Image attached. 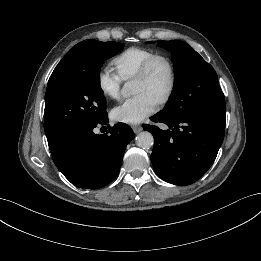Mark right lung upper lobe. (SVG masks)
Returning a JSON list of instances; mask_svg holds the SVG:
<instances>
[{
	"label": "right lung upper lobe",
	"mask_w": 261,
	"mask_h": 261,
	"mask_svg": "<svg viewBox=\"0 0 261 261\" xmlns=\"http://www.w3.org/2000/svg\"><path fill=\"white\" fill-rule=\"evenodd\" d=\"M63 63V60L58 64V65H60V64H62Z\"/></svg>",
	"instance_id": "obj_1"
}]
</instances>
